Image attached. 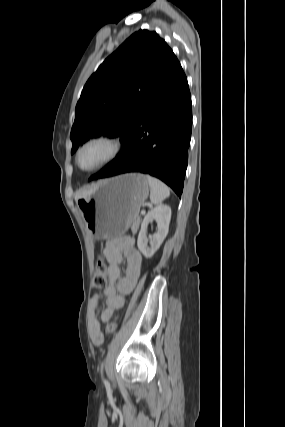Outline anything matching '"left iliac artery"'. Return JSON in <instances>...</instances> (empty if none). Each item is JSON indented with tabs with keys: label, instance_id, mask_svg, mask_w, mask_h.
Returning a JSON list of instances; mask_svg holds the SVG:
<instances>
[{
	"label": "left iliac artery",
	"instance_id": "1",
	"mask_svg": "<svg viewBox=\"0 0 285 427\" xmlns=\"http://www.w3.org/2000/svg\"><path fill=\"white\" fill-rule=\"evenodd\" d=\"M103 366H104V362H102L101 364V375H102L103 382L107 383V381L103 378Z\"/></svg>",
	"mask_w": 285,
	"mask_h": 427
}]
</instances>
